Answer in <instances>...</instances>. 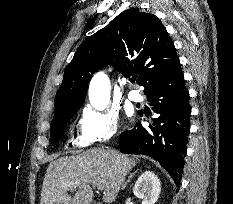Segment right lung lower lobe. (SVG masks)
<instances>
[{
    "mask_svg": "<svg viewBox=\"0 0 233 204\" xmlns=\"http://www.w3.org/2000/svg\"><path fill=\"white\" fill-rule=\"evenodd\" d=\"M144 93L153 111L160 116L147 128L137 123L133 129L123 132L119 140L120 151L154 158L178 186L187 152L191 113L180 62L158 74ZM139 115L142 116V112Z\"/></svg>",
    "mask_w": 233,
    "mask_h": 204,
    "instance_id": "obj_1",
    "label": "right lung lower lobe"
}]
</instances>
